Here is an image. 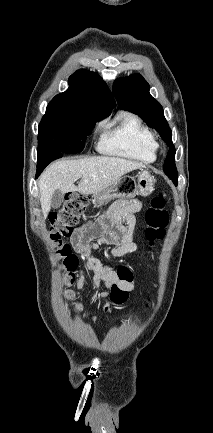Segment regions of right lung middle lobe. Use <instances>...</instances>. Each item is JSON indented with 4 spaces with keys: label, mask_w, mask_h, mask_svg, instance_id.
<instances>
[{
    "label": "right lung middle lobe",
    "mask_w": 213,
    "mask_h": 433,
    "mask_svg": "<svg viewBox=\"0 0 213 433\" xmlns=\"http://www.w3.org/2000/svg\"><path fill=\"white\" fill-rule=\"evenodd\" d=\"M98 121L100 119L82 111L48 105L38 128L37 156L50 152H81L88 134Z\"/></svg>",
    "instance_id": "dd1d6c3e"
}]
</instances>
